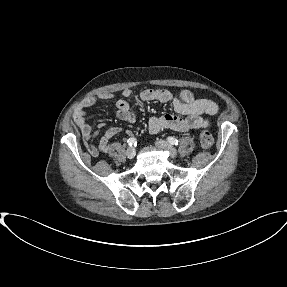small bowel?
I'll return each mask as SVG.
<instances>
[{
  "label": "small bowel",
  "mask_w": 287,
  "mask_h": 287,
  "mask_svg": "<svg viewBox=\"0 0 287 287\" xmlns=\"http://www.w3.org/2000/svg\"><path fill=\"white\" fill-rule=\"evenodd\" d=\"M122 95L125 98L132 97L131 90H124ZM114 95L112 93H100L97 96H92L83 101V103L76 108L73 114V119L77 127L80 129L84 144L87 151L96 156L100 151L108 149L109 141L114 136L118 135L122 130L119 127H112L108 129L100 138L97 144L93 143V139L99 134L104 127L103 123H99L97 130L92 131L91 126L86 120V109L93 106L97 100H109ZM137 99L140 101H159L162 103H170L173 110L183 115V117L165 114L162 116H152L148 120V128L151 133H158L164 129H171L178 132H188L194 129L206 128L209 126V121L203 117L204 114L214 115L218 111V106L215 102L207 99H196L190 91H182L180 97L176 98L173 94L164 89H146L141 91ZM117 116L120 120L134 123L136 121L135 113L130 109V104L124 99L116 102ZM127 135H131L132 131L127 129Z\"/></svg>",
  "instance_id": "1"
}]
</instances>
